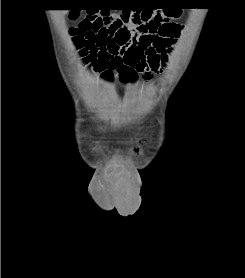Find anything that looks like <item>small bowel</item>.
I'll return each mask as SVG.
<instances>
[{
  "instance_id": "c3829d8e",
  "label": "small bowel",
  "mask_w": 245,
  "mask_h": 278,
  "mask_svg": "<svg viewBox=\"0 0 245 278\" xmlns=\"http://www.w3.org/2000/svg\"><path fill=\"white\" fill-rule=\"evenodd\" d=\"M180 12L178 10L172 17H177ZM134 42V45L125 47L119 46L114 38H108L102 46L95 42L96 49H103L105 55L91 58L86 54V59L90 63V75L92 77L97 76L104 82H112L115 75L118 74L120 81L129 85L138 75L157 72L166 66L170 50H167L164 54L151 55L148 53L149 47H142L138 39H135ZM86 45L87 34L80 33L79 46L84 50Z\"/></svg>"
}]
</instances>
